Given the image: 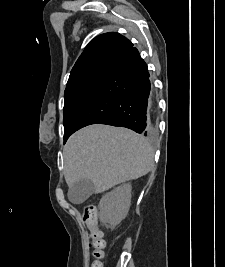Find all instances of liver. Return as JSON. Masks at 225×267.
Returning a JSON list of instances; mask_svg holds the SVG:
<instances>
[{
    "mask_svg": "<svg viewBox=\"0 0 225 267\" xmlns=\"http://www.w3.org/2000/svg\"><path fill=\"white\" fill-rule=\"evenodd\" d=\"M63 155L68 187L89 179L94 183L95 193L146 175L154 159V151L143 136L103 124H92L75 132Z\"/></svg>",
    "mask_w": 225,
    "mask_h": 267,
    "instance_id": "obj_1",
    "label": "liver"
}]
</instances>
